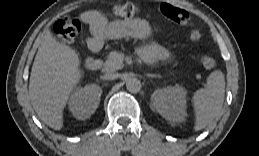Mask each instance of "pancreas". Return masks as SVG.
<instances>
[{"instance_id":"1","label":"pancreas","mask_w":259,"mask_h":156,"mask_svg":"<svg viewBox=\"0 0 259 156\" xmlns=\"http://www.w3.org/2000/svg\"><path fill=\"white\" fill-rule=\"evenodd\" d=\"M152 51L153 47L150 46L144 50L145 53H151ZM124 58L125 56L123 53L111 51L107 57V60L104 62L103 71L113 72L121 69L123 67Z\"/></svg>"}]
</instances>
